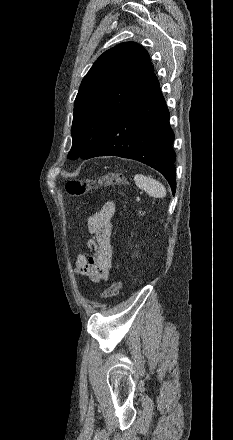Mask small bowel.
Here are the masks:
<instances>
[{
	"mask_svg": "<svg viewBox=\"0 0 233 440\" xmlns=\"http://www.w3.org/2000/svg\"><path fill=\"white\" fill-rule=\"evenodd\" d=\"M115 208L113 201H107L99 211L88 218L87 227L91 238L87 245L94 250V254L76 255L77 274L87 276L93 282L107 280L110 274L114 257L111 233Z\"/></svg>",
	"mask_w": 233,
	"mask_h": 440,
	"instance_id": "obj_1",
	"label": "small bowel"
}]
</instances>
